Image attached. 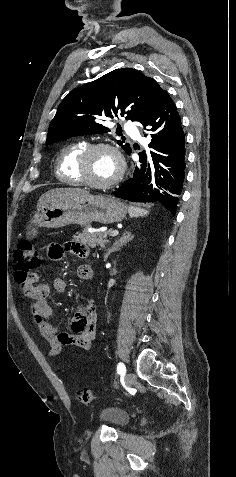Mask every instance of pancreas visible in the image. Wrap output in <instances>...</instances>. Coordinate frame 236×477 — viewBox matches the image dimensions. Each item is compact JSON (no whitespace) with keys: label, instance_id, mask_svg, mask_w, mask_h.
<instances>
[{"label":"pancreas","instance_id":"cf45deb5","mask_svg":"<svg viewBox=\"0 0 236 477\" xmlns=\"http://www.w3.org/2000/svg\"><path fill=\"white\" fill-rule=\"evenodd\" d=\"M111 230L106 232L90 233L86 229L77 235L73 236V240L84 245H88L91 248L99 246L100 249L105 247V244L109 242L107 236L110 234Z\"/></svg>","mask_w":236,"mask_h":477}]
</instances>
